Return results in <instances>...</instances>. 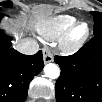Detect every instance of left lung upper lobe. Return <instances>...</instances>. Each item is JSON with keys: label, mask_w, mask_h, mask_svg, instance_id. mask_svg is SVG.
Here are the masks:
<instances>
[{"label": "left lung upper lobe", "mask_w": 102, "mask_h": 102, "mask_svg": "<svg viewBox=\"0 0 102 102\" xmlns=\"http://www.w3.org/2000/svg\"><path fill=\"white\" fill-rule=\"evenodd\" d=\"M94 17V35L102 34V13L100 12H91Z\"/></svg>", "instance_id": "obj_1"}]
</instances>
